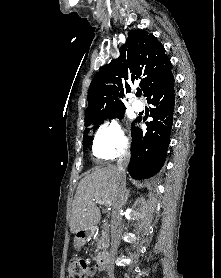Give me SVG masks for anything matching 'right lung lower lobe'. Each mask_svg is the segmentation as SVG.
<instances>
[{"label": "right lung lower lobe", "mask_w": 221, "mask_h": 278, "mask_svg": "<svg viewBox=\"0 0 221 278\" xmlns=\"http://www.w3.org/2000/svg\"><path fill=\"white\" fill-rule=\"evenodd\" d=\"M174 93V78L170 72L145 94L148 103L153 105L150 111L153 120L146 123V132L138 127L132 126L131 129V160L128 171L134 179L153 176L165 161L173 123Z\"/></svg>", "instance_id": "right-lung-lower-lobe-1"}]
</instances>
